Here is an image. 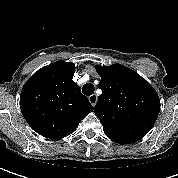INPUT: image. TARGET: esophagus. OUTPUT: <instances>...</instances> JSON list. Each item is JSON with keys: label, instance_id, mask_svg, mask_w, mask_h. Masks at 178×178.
I'll return each instance as SVG.
<instances>
[{"label": "esophagus", "instance_id": "34e87169", "mask_svg": "<svg viewBox=\"0 0 178 178\" xmlns=\"http://www.w3.org/2000/svg\"><path fill=\"white\" fill-rule=\"evenodd\" d=\"M88 99H89V102H90L93 106L96 105V103H97V95H96V94L90 95V96L88 97Z\"/></svg>", "mask_w": 178, "mask_h": 178}]
</instances>
